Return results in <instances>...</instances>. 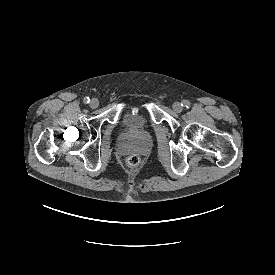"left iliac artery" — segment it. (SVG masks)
<instances>
[{"instance_id":"1","label":"left iliac artery","mask_w":275,"mask_h":275,"mask_svg":"<svg viewBox=\"0 0 275 275\" xmlns=\"http://www.w3.org/2000/svg\"><path fill=\"white\" fill-rule=\"evenodd\" d=\"M182 106L186 107V108H189L190 106V103L188 100H183L182 103H181Z\"/></svg>"}]
</instances>
